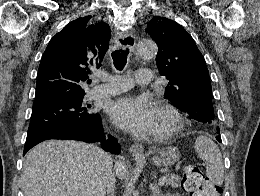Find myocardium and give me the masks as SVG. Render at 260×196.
I'll use <instances>...</instances> for the list:
<instances>
[{"label": "myocardium", "instance_id": "1", "mask_svg": "<svg viewBox=\"0 0 260 196\" xmlns=\"http://www.w3.org/2000/svg\"><path fill=\"white\" fill-rule=\"evenodd\" d=\"M155 107L163 116V122L152 131L154 139H163L171 136L182 126V116L180 112L168 102L158 100Z\"/></svg>", "mask_w": 260, "mask_h": 196}]
</instances>
